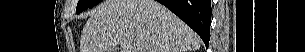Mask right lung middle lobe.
Masks as SVG:
<instances>
[{
	"label": "right lung middle lobe",
	"instance_id": "right-lung-middle-lobe-1",
	"mask_svg": "<svg viewBox=\"0 0 305 52\" xmlns=\"http://www.w3.org/2000/svg\"><path fill=\"white\" fill-rule=\"evenodd\" d=\"M102 0H79L76 8V13L79 14L83 10H86L88 8H92L93 6L100 3Z\"/></svg>",
	"mask_w": 305,
	"mask_h": 52
}]
</instances>
